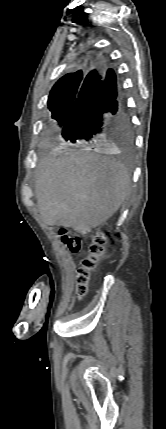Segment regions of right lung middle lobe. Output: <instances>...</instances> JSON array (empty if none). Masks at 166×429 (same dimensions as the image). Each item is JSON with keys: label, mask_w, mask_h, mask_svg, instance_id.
I'll return each instance as SVG.
<instances>
[{"label": "right lung middle lobe", "mask_w": 166, "mask_h": 429, "mask_svg": "<svg viewBox=\"0 0 166 429\" xmlns=\"http://www.w3.org/2000/svg\"><path fill=\"white\" fill-rule=\"evenodd\" d=\"M84 75H76L56 83L48 97L47 107L52 118L62 127L66 121L68 113L73 105L78 90L83 81ZM107 145L116 143L119 146L128 148L132 144L131 125L124 128H117L107 138Z\"/></svg>", "instance_id": "obj_1"}]
</instances>
